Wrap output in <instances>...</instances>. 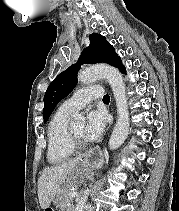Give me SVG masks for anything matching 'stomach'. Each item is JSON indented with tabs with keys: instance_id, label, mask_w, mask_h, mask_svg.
Masks as SVG:
<instances>
[{
	"instance_id": "1",
	"label": "stomach",
	"mask_w": 179,
	"mask_h": 211,
	"mask_svg": "<svg viewBox=\"0 0 179 211\" xmlns=\"http://www.w3.org/2000/svg\"><path fill=\"white\" fill-rule=\"evenodd\" d=\"M86 164H87L86 161L83 162L81 164V166L78 168V170L74 173V175H73V181L78 180V177L81 176L84 173L83 168L86 166Z\"/></svg>"
}]
</instances>
